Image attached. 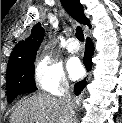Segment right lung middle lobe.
Returning <instances> with one entry per match:
<instances>
[{
	"label": "right lung middle lobe",
	"mask_w": 122,
	"mask_h": 123,
	"mask_svg": "<svg viewBox=\"0 0 122 123\" xmlns=\"http://www.w3.org/2000/svg\"><path fill=\"white\" fill-rule=\"evenodd\" d=\"M34 61L35 57L7 70L6 87L9 103L20 94L37 90L34 81Z\"/></svg>",
	"instance_id": "dd1d6c3e"
}]
</instances>
